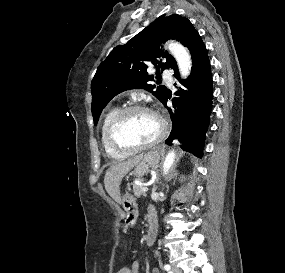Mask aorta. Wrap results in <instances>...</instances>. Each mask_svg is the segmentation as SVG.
Segmentation results:
<instances>
[{
    "label": "aorta",
    "mask_w": 285,
    "mask_h": 273,
    "mask_svg": "<svg viewBox=\"0 0 285 273\" xmlns=\"http://www.w3.org/2000/svg\"><path fill=\"white\" fill-rule=\"evenodd\" d=\"M168 49L174 58L177 61L180 73L183 77H187L190 74L192 62L190 58V54L187 49L178 42H171L168 45ZM175 161V152L170 151L163 163V173L167 174L174 164Z\"/></svg>",
    "instance_id": "obj_1"
}]
</instances>
